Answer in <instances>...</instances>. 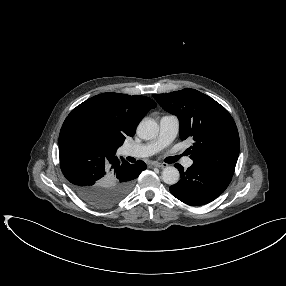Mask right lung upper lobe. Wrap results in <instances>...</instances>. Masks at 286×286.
<instances>
[{
  "mask_svg": "<svg viewBox=\"0 0 286 286\" xmlns=\"http://www.w3.org/2000/svg\"><path fill=\"white\" fill-rule=\"evenodd\" d=\"M157 104L146 96L119 93H102L81 103L65 120L68 123H85L96 128L103 151L112 157L127 136L132 137L144 115Z\"/></svg>",
  "mask_w": 286,
  "mask_h": 286,
  "instance_id": "right-lung-upper-lobe-1",
  "label": "right lung upper lobe"
}]
</instances>
